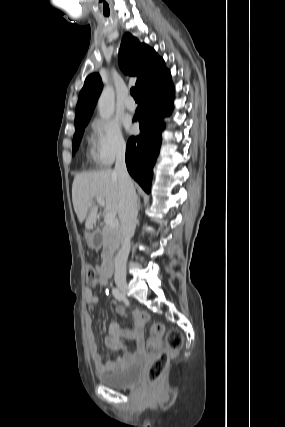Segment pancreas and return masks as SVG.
<instances>
[{
  "label": "pancreas",
  "instance_id": "1",
  "mask_svg": "<svg viewBox=\"0 0 285 427\" xmlns=\"http://www.w3.org/2000/svg\"><path fill=\"white\" fill-rule=\"evenodd\" d=\"M103 245L109 252H114L120 245L121 229L119 226L110 227L105 225L102 228Z\"/></svg>",
  "mask_w": 285,
  "mask_h": 427
}]
</instances>
